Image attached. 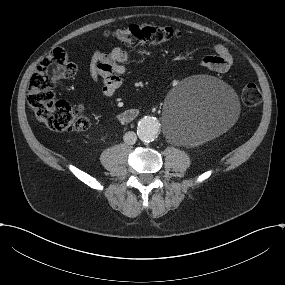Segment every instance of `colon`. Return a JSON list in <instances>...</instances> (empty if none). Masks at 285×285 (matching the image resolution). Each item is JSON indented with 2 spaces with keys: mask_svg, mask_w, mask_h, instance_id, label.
Listing matches in <instances>:
<instances>
[{
  "mask_svg": "<svg viewBox=\"0 0 285 285\" xmlns=\"http://www.w3.org/2000/svg\"><path fill=\"white\" fill-rule=\"evenodd\" d=\"M178 34L177 30L169 26L131 24L110 35L123 44L159 45L170 41ZM76 73L77 66L69 60L68 50L58 47L41 61L30 79L28 105L36 121L51 131L84 130L89 126V119L83 108L57 99L53 90L57 81L71 78ZM241 97L245 106L254 107L261 101V91L256 84L248 83L244 86Z\"/></svg>",
  "mask_w": 285,
  "mask_h": 285,
  "instance_id": "obj_1",
  "label": "colon"
}]
</instances>
